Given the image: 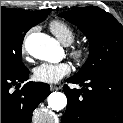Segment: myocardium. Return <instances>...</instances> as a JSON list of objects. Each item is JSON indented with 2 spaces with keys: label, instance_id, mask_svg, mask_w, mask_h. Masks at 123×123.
<instances>
[{
  "label": "myocardium",
  "instance_id": "obj_1",
  "mask_svg": "<svg viewBox=\"0 0 123 123\" xmlns=\"http://www.w3.org/2000/svg\"><path fill=\"white\" fill-rule=\"evenodd\" d=\"M89 51L84 45H74L69 50L70 57L77 63L82 64L87 60Z\"/></svg>",
  "mask_w": 123,
  "mask_h": 123
}]
</instances>
